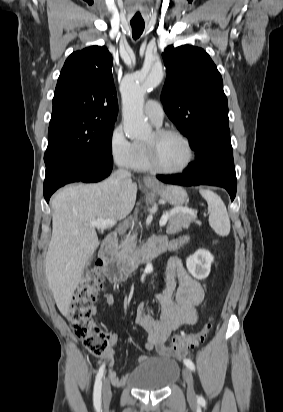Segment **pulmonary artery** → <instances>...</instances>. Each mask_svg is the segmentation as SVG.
I'll list each match as a JSON object with an SVG mask.
<instances>
[{"label":"pulmonary artery","instance_id":"1","mask_svg":"<svg viewBox=\"0 0 283 412\" xmlns=\"http://www.w3.org/2000/svg\"><path fill=\"white\" fill-rule=\"evenodd\" d=\"M144 112L147 118L156 126L162 124L164 111L159 101L151 99L147 101L144 107Z\"/></svg>","mask_w":283,"mask_h":412}]
</instances>
